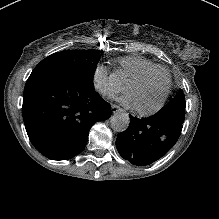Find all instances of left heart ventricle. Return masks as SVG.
Segmentation results:
<instances>
[{"label":"left heart ventricle","mask_w":219,"mask_h":219,"mask_svg":"<svg viewBox=\"0 0 219 219\" xmlns=\"http://www.w3.org/2000/svg\"><path fill=\"white\" fill-rule=\"evenodd\" d=\"M166 83L167 74L166 72H161L137 86L132 93V97L138 104L151 105L161 97Z\"/></svg>","instance_id":"left-heart-ventricle-1"}]
</instances>
